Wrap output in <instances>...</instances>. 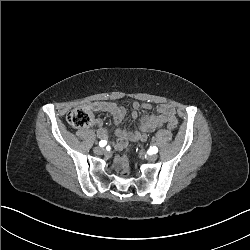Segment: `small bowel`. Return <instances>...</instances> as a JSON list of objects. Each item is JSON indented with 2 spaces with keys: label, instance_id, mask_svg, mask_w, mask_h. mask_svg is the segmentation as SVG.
<instances>
[{
  "label": "small bowel",
  "instance_id": "obj_1",
  "mask_svg": "<svg viewBox=\"0 0 250 250\" xmlns=\"http://www.w3.org/2000/svg\"><path fill=\"white\" fill-rule=\"evenodd\" d=\"M83 107L93 111L105 112L113 117L116 135L114 146L119 150L125 148L128 141L146 140L150 132L164 125L165 119L173 118L177 120L174 108L163 103L156 107L155 113L143 115L139 118L138 130L129 131L119 127L126 114V110L122 106L110 102L96 101L85 103ZM140 107L139 103H133L131 112L133 118L138 117ZM144 108H150V106L144 105ZM93 124L97 129V136L106 140L109 136V129L103 126L102 120L95 119Z\"/></svg>",
  "mask_w": 250,
  "mask_h": 250
}]
</instances>
